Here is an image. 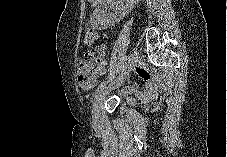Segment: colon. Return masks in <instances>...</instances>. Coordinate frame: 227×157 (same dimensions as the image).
<instances>
[{
  "mask_svg": "<svg viewBox=\"0 0 227 157\" xmlns=\"http://www.w3.org/2000/svg\"><path fill=\"white\" fill-rule=\"evenodd\" d=\"M98 32L91 28L87 27L84 31L83 40L84 43L88 46L94 44L98 39ZM104 49L102 47H97L86 51L79 64V83L85 88H89L95 79V71L99 65V62L102 60Z\"/></svg>",
  "mask_w": 227,
  "mask_h": 157,
  "instance_id": "1",
  "label": "colon"
}]
</instances>
